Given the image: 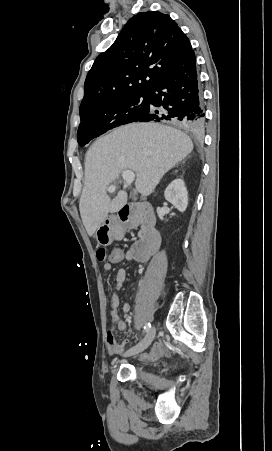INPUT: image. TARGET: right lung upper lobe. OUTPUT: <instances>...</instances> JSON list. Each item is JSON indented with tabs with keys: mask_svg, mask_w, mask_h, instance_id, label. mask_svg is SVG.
I'll return each instance as SVG.
<instances>
[{
	"mask_svg": "<svg viewBox=\"0 0 272 451\" xmlns=\"http://www.w3.org/2000/svg\"><path fill=\"white\" fill-rule=\"evenodd\" d=\"M192 51L189 39L169 15L138 13L96 58L85 80L80 113L113 99L148 94Z\"/></svg>",
	"mask_w": 272,
	"mask_h": 451,
	"instance_id": "cb5924a9",
	"label": "right lung upper lobe"
}]
</instances>
